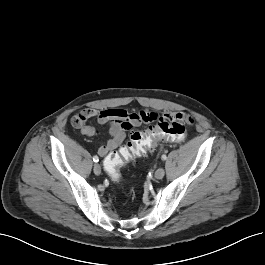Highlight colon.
<instances>
[{
    "instance_id": "obj_1",
    "label": "colon",
    "mask_w": 265,
    "mask_h": 265,
    "mask_svg": "<svg viewBox=\"0 0 265 265\" xmlns=\"http://www.w3.org/2000/svg\"><path fill=\"white\" fill-rule=\"evenodd\" d=\"M152 121H156L155 124L144 131L133 132L128 143L105 159L104 168L113 181H119L120 169L129 161L142 156L147 151H155L163 142L184 141L187 136V123L191 119L153 116Z\"/></svg>"
}]
</instances>
